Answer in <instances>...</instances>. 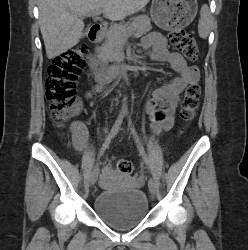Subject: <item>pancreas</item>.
Listing matches in <instances>:
<instances>
[{
	"label": "pancreas",
	"mask_w": 248,
	"mask_h": 250,
	"mask_svg": "<svg viewBox=\"0 0 248 250\" xmlns=\"http://www.w3.org/2000/svg\"><path fill=\"white\" fill-rule=\"evenodd\" d=\"M152 29L151 21L147 15H140L126 24L110 27L105 31V42L98 48V57L103 62L118 63L122 57V42L128 37L125 32H132L135 36L146 34Z\"/></svg>",
	"instance_id": "obj_1"
}]
</instances>
